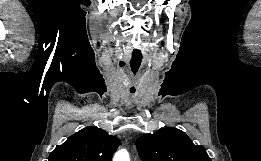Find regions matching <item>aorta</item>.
<instances>
[{"instance_id":"1","label":"aorta","mask_w":261,"mask_h":161,"mask_svg":"<svg viewBox=\"0 0 261 161\" xmlns=\"http://www.w3.org/2000/svg\"><path fill=\"white\" fill-rule=\"evenodd\" d=\"M113 161H130L129 153L125 149H121L115 153Z\"/></svg>"}]
</instances>
